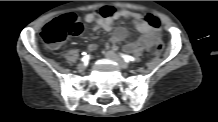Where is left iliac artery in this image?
<instances>
[{
	"instance_id": "left-iliac-artery-1",
	"label": "left iliac artery",
	"mask_w": 218,
	"mask_h": 122,
	"mask_svg": "<svg viewBox=\"0 0 218 122\" xmlns=\"http://www.w3.org/2000/svg\"><path fill=\"white\" fill-rule=\"evenodd\" d=\"M121 57L126 61V62H134L136 59L132 56L121 54Z\"/></svg>"
}]
</instances>
